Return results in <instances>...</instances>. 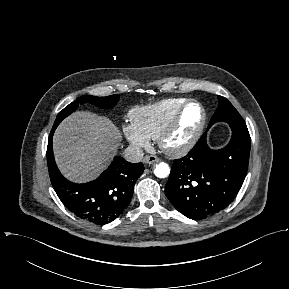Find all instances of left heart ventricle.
<instances>
[{
    "mask_svg": "<svg viewBox=\"0 0 289 289\" xmlns=\"http://www.w3.org/2000/svg\"><path fill=\"white\" fill-rule=\"evenodd\" d=\"M201 119L200 108L196 104H191L185 110L181 124L172 137V143H182L187 140L197 128Z\"/></svg>",
    "mask_w": 289,
    "mask_h": 289,
    "instance_id": "1",
    "label": "left heart ventricle"
}]
</instances>
